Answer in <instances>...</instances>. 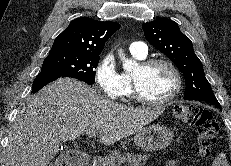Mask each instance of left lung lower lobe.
<instances>
[{
	"label": "left lung lower lobe",
	"mask_w": 231,
	"mask_h": 166,
	"mask_svg": "<svg viewBox=\"0 0 231 166\" xmlns=\"http://www.w3.org/2000/svg\"><path fill=\"white\" fill-rule=\"evenodd\" d=\"M204 102L210 103L215 105L217 108L221 109V106L219 104V102L217 101V99H212V100H203Z\"/></svg>",
	"instance_id": "1"
}]
</instances>
